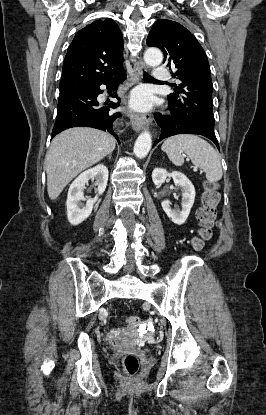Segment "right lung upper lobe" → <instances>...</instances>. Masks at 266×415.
I'll list each match as a JSON object with an SVG mask.
<instances>
[{
  "label": "right lung upper lobe",
  "instance_id": "cb5924a9",
  "mask_svg": "<svg viewBox=\"0 0 266 415\" xmlns=\"http://www.w3.org/2000/svg\"><path fill=\"white\" fill-rule=\"evenodd\" d=\"M123 36L112 19L81 29L64 59L60 93L115 77L123 69Z\"/></svg>",
  "mask_w": 266,
  "mask_h": 415
}]
</instances>
